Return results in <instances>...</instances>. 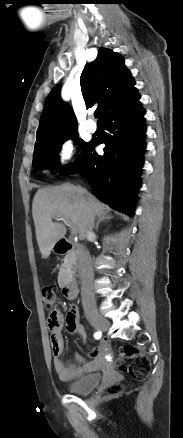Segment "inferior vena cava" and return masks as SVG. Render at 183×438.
<instances>
[{"instance_id":"obj_1","label":"inferior vena cava","mask_w":183,"mask_h":438,"mask_svg":"<svg viewBox=\"0 0 183 438\" xmlns=\"http://www.w3.org/2000/svg\"><path fill=\"white\" fill-rule=\"evenodd\" d=\"M94 224H89L86 232V238L89 240L94 236L93 233ZM79 269L82 275V304L84 310L94 308L96 306L94 293L92 291L93 283V268L91 264V257L87 249L83 250L79 255Z\"/></svg>"}]
</instances>
